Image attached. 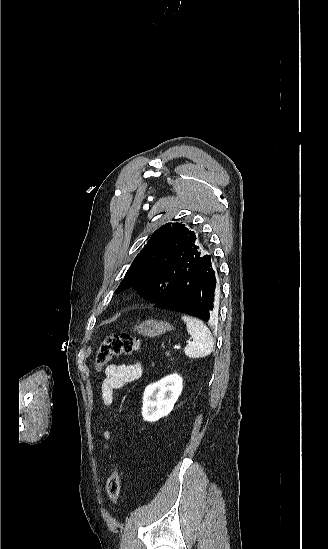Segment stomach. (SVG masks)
Returning a JSON list of instances; mask_svg holds the SVG:
<instances>
[{"instance_id":"stomach-1","label":"stomach","mask_w":328,"mask_h":549,"mask_svg":"<svg viewBox=\"0 0 328 549\" xmlns=\"http://www.w3.org/2000/svg\"><path fill=\"white\" fill-rule=\"evenodd\" d=\"M172 329L170 323L156 321V319H149V321H142L140 325H135V331L139 335H144V337H158V335H165L167 331H172Z\"/></svg>"}]
</instances>
